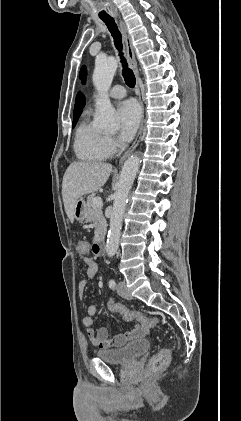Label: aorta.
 Wrapping results in <instances>:
<instances>
[{
    "instance_id": "762f6f07",
    "label": "aorta",
    "mask_w": 241,
    "mask_h": 421,
    "mask_svg": "<svg viewBox=\"0 0 241 421\" xmlns=\"http://www.w3.org/2000/svg\"><path fill=\"white\" fill-rule=\"evenodd\" d=\"M118 67L114 57L97 59L93 73V83L99 98L97 99L98 115L95 118V126L100 129L111 130L116 128L115 109L108 98V90ZM140 166V158L130 156L124 163L110 216V228L106 245L107 255L113 257L118 250L121 235L123 216L128 201V195L132 188L136 174Z\"/></svg>"
}]
</instances>
